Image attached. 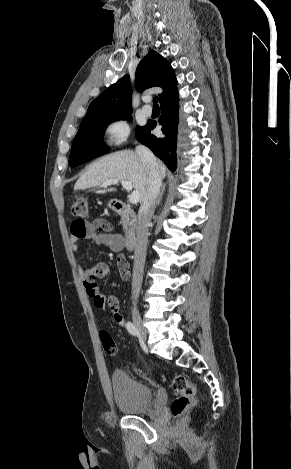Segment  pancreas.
Here are the masks:
<instances>
[{"instance_id":"cf45deb5","label":"pancreas","mask_w":291,"mask_h":469,"mask_svg":"<svg viewBox=\"0 0 291 469\" xmlns=\"http://www.w3.org/2000/svg\"><path fill=\"white\" fill-rule=\"evenodd\" d=\"M121 223H122L124 232H125L126 234H129V233H130V231H129L130 222L128 221V219H127L126 216H122V218H121Z\"/></svg>"}]
</instances>
